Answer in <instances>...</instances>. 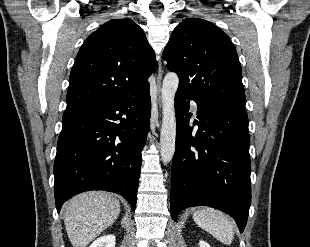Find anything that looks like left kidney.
<instances>
[{
    "label": "left kidney",
    "instance_id": "obj_1",
    "mask_svg": "<svg viewBox=\"0 0 310 247\" xmlns=\"http://www.w3.org/2000/svg\"><path fill=\"white\" fill-rule=\"evenodd\" d=\"M199 245H200V247H210V245L207 242L203 241V240H201L199 242Z\"/></svg>",
    "mask_w": 310,
    "mask_h": 247
}]
</instances>
